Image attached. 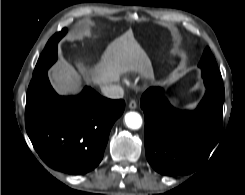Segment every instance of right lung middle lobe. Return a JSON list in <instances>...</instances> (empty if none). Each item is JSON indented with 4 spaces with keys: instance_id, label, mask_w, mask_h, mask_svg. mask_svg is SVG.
<instances>
[{
    "instance_id": "right-lung-middle-lobe-1",
    "label": "right lung middle lobe",
    "mask_w": 245,
    "mask_h": 195,
    "mask_svg": "<svg viewBox=\"0 0 245 195\" xmlns=\"http://www.w3.org/2000/svg\"><path fill=\"white\" fill-rule=\"evenodd\" d=\"M66 32L67 29H63L48 41L36 64L33 77L47 73L48 68L57 60V44Z\"/></svg>"
}]
</instances>
